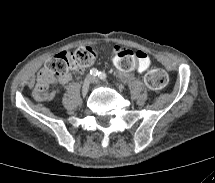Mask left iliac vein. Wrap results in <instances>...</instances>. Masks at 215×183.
Wrapping results in <instances>:
<instances>
[{
	"label": "left iliac vein",
	"mask_w": 215,
	"mask_h": 183,
	"mask_svg": "<svg viewBox=\"0 0 215 183\" xmlns=\"http://www.w3.org/2000/svg\"><path fill=\"white\" fill-rule=\"evenodd\" d=\"M92 83H98V80L96 78H92Z\"/></svg>",
	"instance_id": "1"
}]
</instances>
